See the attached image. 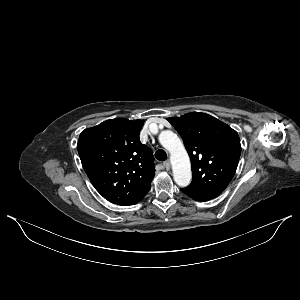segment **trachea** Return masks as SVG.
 I'll return each instance as SVG.
<instances>
[{
	"instance_id": "obj_1",
	"label": "trachea",
	"mask_w": 300,
	"mask_h": 300,
	"mask_svg": "<svg viewBox=\"0 0 300 300\" xmlns=\"http://www.w3.org/2000/svg\"><path fill=\"white\" fill-rule=\"evenodd\" d=\"M155 157L159 161H165L167 159V153L164 150L159 149L155 152Z\"/></svg>"
}]
</instances>
